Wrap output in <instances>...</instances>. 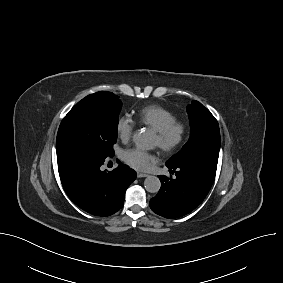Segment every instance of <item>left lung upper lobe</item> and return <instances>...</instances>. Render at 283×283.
Returning a JSON list of instances; mask_svg holds the SVG:
<instances>
[{
    "label": "left lung upper lobe",
    "mask_w": 283,
    "mask_h": 283,
    "mask_svg": "<svg viewBox=\"0 0 283 283\" xmlns=\"http://www.w3.org/2000/svg\"><path fill=\"white\" fill-rule=\"evenodd\" d=\"M191 136L182 150L166 164L172 166H194L215 178L219 149V125L211 112L198 101L187 106Z\"/></svg>",
    "instance_id": "5c2ea615"
}]
</instances>
